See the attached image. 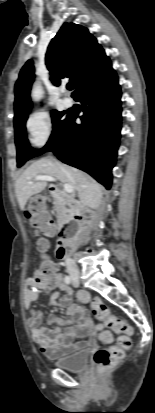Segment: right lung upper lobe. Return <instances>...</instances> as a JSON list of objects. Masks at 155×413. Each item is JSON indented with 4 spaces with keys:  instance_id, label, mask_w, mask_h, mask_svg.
<instances>
[{
    "instance_id": "obj_1",
    "label": "right lung upper lobe",
    "mask_w": 155,
    "mask_h": 413,
    "mask_svg": "<svg viewBox=\"0 0 155 413\" xmlns=\"http://www.w3.org/2000/svg\"><path fill=\"white\" fill-rule=\"evenodd\" d=\"M45 61L54 85L58 86L62 78H70L74 89L72 97L83 85L111 68V61L96 38L87 28L74 23L62 25L48 46ZM34 77L33 62L29 60L21 69L15 84L14 122L28 117Z\"/></svg>"
}]
</instances>
